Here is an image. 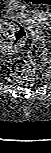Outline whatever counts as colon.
Here are the masks:
<instances>
[{
    "instance_id": "1",
    "label": "colon",
    "mask_w": 51,
    "mask_h": 153,
    "mask_svg": "<svg viewBox=\"0 0 51 153\" xmlns=\"http://www.w3.org/2000/svg\"><path fill=\"white\" fill-rule=\"evenodd\" d=\"M28 5H50L51 0H23ZM1 48L9 53L18 52L25 44L26 32L22 25L14 19H6L1 23ZM30 64L17 59L11 66V75L19 83L31 81L43 68L47 59V47L44 32L36 30L29 53Z\"/></svg>"
}]
</instances>
